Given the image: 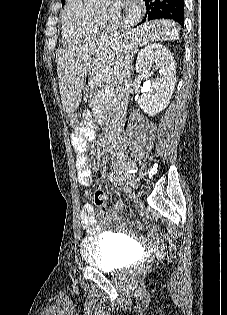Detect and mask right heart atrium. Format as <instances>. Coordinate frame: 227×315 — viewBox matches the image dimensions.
<instances>
[{"instance_id":"d8ad5b80","label":"right heart atrium","mask_w":227,"mask_h":315,"mask_svg":"<svg viewBox=\"0 0 227 315\" xmlns=\"http://www.w3.org/2000/svg\"><path fill=\"white\" fill-rule=\"evenodd\" d=\"M118 16V11L114 8H105L97 12V19L101 26L107 25L111 20Z\"/></svg>"}]
</instances>
